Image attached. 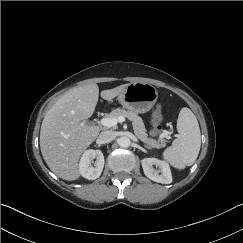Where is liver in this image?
<instances>
[{
    "mask_svg": "<svg viewBox=\"0 0 243 243\" xmlns=\"http://www.w3.org/2000/svg\"><path fill=\"white\" fill-rule=\"evenodd\" d=\"M127 85L103 90L100 95L104 100L111 101ZM98 98L99 87L95 83L74 87L56 101L42 121V156L50 170L64 180L79 178V159L99 135V126L81 122L93 115Z\"/></svg>",
    "mask_w": 243,
    "mask_h": 243,
    "instance_id": "liver-1",
    "label": "liver"
}]
</instances>
